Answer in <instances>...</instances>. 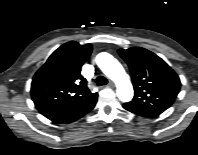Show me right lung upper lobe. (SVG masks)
<instances>
[{"label":"right lung upper lobe","instance_id":"cb5924a9","mask_svg":"<svg viewBox=\"0 0 198 155\" xmlns=\"http://www.w3.org/2000/svg\"><path fill=\"white\" fill-rule=\"evenodd\" d=\"M90 44L70 41L60 46L36 72L31 96L41 114L52 121L68 117L97 99L81 75V67L91 54Z\"/></svg>","mask_w":198,"mask_h":155}]
</instances>
